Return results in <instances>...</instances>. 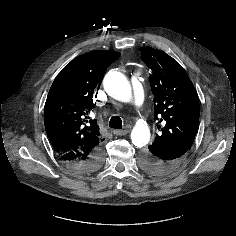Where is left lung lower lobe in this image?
I'll return each mask as SVG.
<instances>
[{
	"instance_id": "obj_1",
	"label": "left lung lower lobe",
	"mask_w": 236,
	"mask_h": 236,
	"mask_svg": "<svg viewBox=\"0 0 236 236\" xmlns=\"http://www.w3.org/2000/svg\"><path fill=\"white\" fill-rule=\"evenodd\" d=\"M185 149H157L150 148V152L143 155L141 163L145 171L152 175H166L173 171L182 161Z\"/></svg>"
}]
</instances>
